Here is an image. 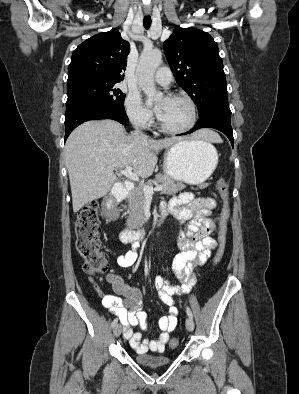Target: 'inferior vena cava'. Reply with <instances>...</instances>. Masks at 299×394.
<instances>
[{"instance_id": "obj_1", "label": "inferior vena cava", "mask_w": 299, "mask_h": 394, "mask_svg": "<svg viewBox=\"0 0 299 394\" xmlns=\"http://www.w3.org/2000/svg\"><path fill=\"white\" fill-rule=\"evenodd\" d=\"M135 129H136V131H135L136 133H140V134H142V132H141V131H139V129H138V127H137V126L135 127ZM144 136H145V135H144Z\"/></svg>"}]
</instances>
